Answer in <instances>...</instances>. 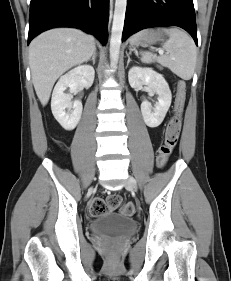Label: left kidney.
I'll use <instances>...</instances> for the list:
<instances>
[{
	"instance_id": "5707ae66",
	"label": "left kidney",
	"mask_w": 231,
	"mask_h": 281,
	"mask_svg": "<svg viewBox=\"0 0 231 281\" xmlns=\"http://www.w3.org/2000/svg\"><path fill=\"white\" fill-rule=\"evenodd\" d=\"M128 80L132 88L146 85L150 95L154 93L158 95V101L154 107L147 100L141 103V113L145 124L151 128L158 127L171 105L172 94L168 83L161 74L153 69L138 66H133L129 70Z\"/></svg>"
}]
</instances>
